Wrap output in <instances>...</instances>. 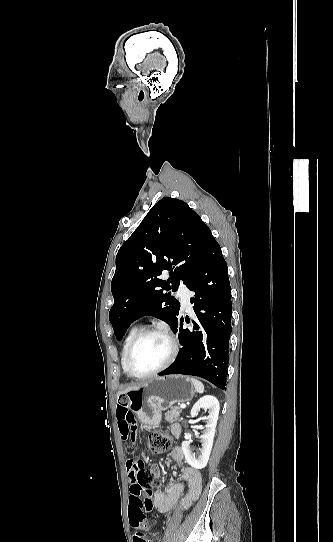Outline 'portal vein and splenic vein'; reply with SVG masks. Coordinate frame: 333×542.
<instances>
[{
	"label": "portal vein and splenic vein",
	"mask_w": 333,
	"mask_h": 542,
	"mask_svg": "<svg viewBox=\"0 0 333 542\" xmlns=\"http://www.w3.org/2000/svg\"><path fill=\"white\" fill-rule=\"evenodd\" d=\"M181 408H186L185 404H182Z\"/></svg>",
	"instance_id": "1"
}]
</instances>
